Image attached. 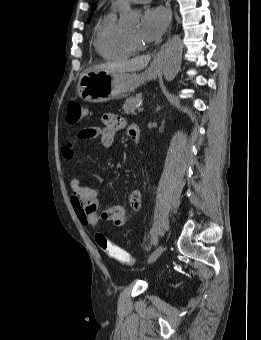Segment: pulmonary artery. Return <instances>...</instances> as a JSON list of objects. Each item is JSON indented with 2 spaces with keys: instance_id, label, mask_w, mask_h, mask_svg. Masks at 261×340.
<instances>
[{
  "instance_id": "1",
  "label": "pulmonary artery",
  "mask_w": 261,
  "mask_h": 340,
  "mask_svg": "<svg viewBox=\"0 0 261 340\" xmlns=\"http://www.w3.org/2000/svg\"><path fill=\"white\" fill-rule=\"evenodd\" d=\"M126 1H130V2H134V3H147L151 0H114L112 2V8L114 9H119L123 6V4L126 2Z\"/></svg>"
}]
</instances>
